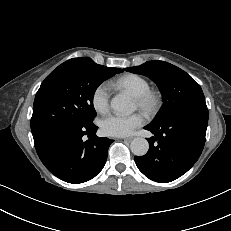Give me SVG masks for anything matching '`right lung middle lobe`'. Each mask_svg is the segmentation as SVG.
<instances>
[{"mask_svg":"<svg viewBox=\"0 0 231 231\" xmlns=\"http://www.w3.org/2000/svg\"><path fill=\"white\" fill-rule=\"evenodd\" d=\"M120 72L119 68L98 65L91 58L70 60L58 66L42 82L34 100L31 118L34 141L49 140L64 127L91 124L96 116L95 90Z\"/></svg>","mask_w":231,"mask_h":231,"instance_id":"dd1d6c3e","label":"right lung middle lobe"}]
</instances>
